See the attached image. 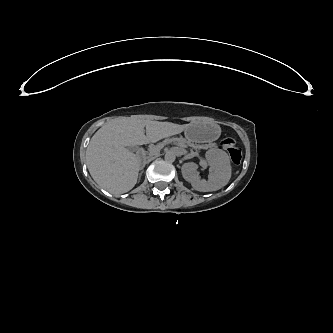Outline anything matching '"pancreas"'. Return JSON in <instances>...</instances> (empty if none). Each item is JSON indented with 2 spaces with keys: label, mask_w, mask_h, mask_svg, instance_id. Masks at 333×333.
<instances>
[{
  "label": "pancreas",
  "mask_w": 333,
  "mask_h": 333,
  "mask_svg": "<svg viewBox=\"0 0 333 333\" xmlns=\"http://www.w3.org/2000/svg\"><path fill=\"white\" fill-rule=\"evenodd\" d=\"M168 143H174V144H179V145H188V146H195L193 143H189L187 142L185 139H169L167 140ZM196 147V146H195ZM160 147L159 146H154L150 151L149 154L150 155H154L156 153H158Z\"/></svg>",
  "instance_id": "1"
}]
</instances>
